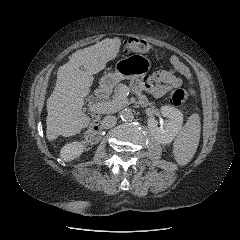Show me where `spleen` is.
<instances>
[{"instance_id":"3e777b00","label":"spleen","mask_w":240,"mask_h":240,"mask_svg":"<svg viewBox=\"0 0 240 240\" xmlns=\"http://www.w3.org/2000/svg\"><path fill=\"white\" fill-rule=\"evenodd\" d=\"M200 132V117L193 113L173 144V155L179 165H186L193 158L199 144Z\"/></svg>"}]
</instances>
